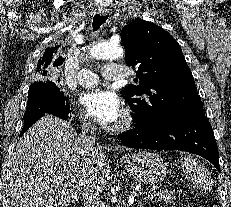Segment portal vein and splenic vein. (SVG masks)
<instances>
[{
  "label": "portal vein and splenic vein",
  "mask_w": 231,
  "mask_h": 207,
  "mask_svg": "<svg viewBox=\"0 0 231 207\" xmlns=\"http://www.w3.org/2000/svg\"><path fill=\"white\" fill-rule=\"evenodd\" d=\"M156 195H157V194H156L155 192H152V193H150V194L148 195V198H153V197H155ZM133 202H134V195L131 196V197H129V200H128L129 206H131V205L133 204Z\"/></svg>",
  "instance_id": "obj_1"
}]
</instances>
